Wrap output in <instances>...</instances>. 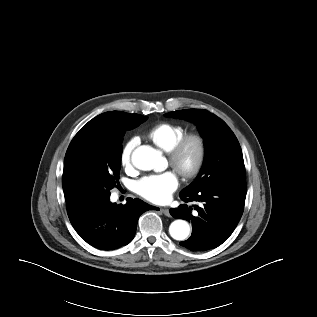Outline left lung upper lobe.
<instances>
[{"label":"left lung upper lobe","mask_w":317,"mask_h":317,"mask_svg":"<svg viewBox=\"0 0 317 317\" xmlns=\"http://www.w3.org/2000/svg\"><path fill=\"white\" fill-rule=\"evenodd\" d=\"M167 117L195 123L205 143L204 163L198 177L180 194L198 193L218 183L245 182L246 172L240 144L228 125L216 115L200 109L173 111Z\"/></svg>","instance_id":"1"}]
</instances>
